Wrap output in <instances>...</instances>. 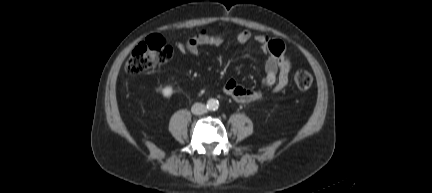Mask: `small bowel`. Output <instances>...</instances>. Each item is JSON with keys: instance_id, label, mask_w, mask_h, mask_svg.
<instances>
[{"instance_id": "obj_1", "label": "small bowel", "mask_w": 432, "mask_h": 193, "mask_svg": "<svg viewBox=\"0 0 432 193\" xmlns=\"http://www.w3.org/2000/svg\"><path fill=\"white\" fill-rule=\"evenodd\" d=\"M237 42L246 44L252 39V35L247 30H242L237 34ZM254 41L260 46L267 55L265 64V76L262 84L270 87L273 92L284 89L289 82L291 61L286 56L285 45L281 40L269 38L265 35H257ZM223 39L219 35H210L205 31L200 32L186 42L175 43L176 49L180 53L197 54L202 46H219ZM226 95L242 103L254 102L262 98L260 90L249 89L239 85L235 80L229 79L223 87Z\"/></svg>"}]
</instances>
